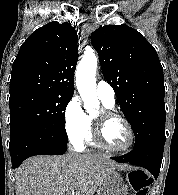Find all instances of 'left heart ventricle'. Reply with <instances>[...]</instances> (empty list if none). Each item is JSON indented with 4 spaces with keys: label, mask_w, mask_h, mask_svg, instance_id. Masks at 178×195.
Segmentation results:
<instances>
[{
    "label": "left heart ventricle",
    "mask_w": 178,
    "mask_h": 195,
    "mask_svg": "<svg viewBox=\"0 0 178 195\" xmlns=\"http://www.w3.org/2000/svg\"><path fill=\"white\" fill-rule=\"evenodd\" d=\"M104 138L107 144L114 148H124L130 140L126 126L119 120H110L106 123Z\"/></svg>",
    "instance_id": "obj_1"
}]
</instances>
